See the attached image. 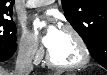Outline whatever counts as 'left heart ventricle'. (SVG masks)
<instances>
[{"label":"left heart ventricle","mask_w":107,"mask_h":75,"mask_svg":"<svg viewBox=\"0 0 107 75\" xmlns=\"http://www.w3.org/2000/svg\"><path fill=\"white\" fill-rule=\"evenodd\" d=\"M50 54L56 63L63 65L73 64L81 59V51L75 38L64 31L60 32Z\"/></svg>","instance_id":"b2bd125f"}]
</instances>
